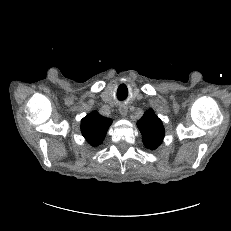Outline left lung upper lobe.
Here are the masks:
<instances>
[{
  "instance_id": "1",
  "label": "left lung upper lobe",
  "mask_w": 231,
  "mask_h": 231,
  "mask_svg": "<svg viewBox=\"0 0 231 231\" xmlns=\"http://www.w3.org/2000/svg\"><path fill=\"white\" fill-rule=\"evenodd\" d=\"M137 126L143 136V143L148 149L155 150L162 143L165 135L164 127L152 109L144 113Z\"/></svg>"
}]
</instances>
